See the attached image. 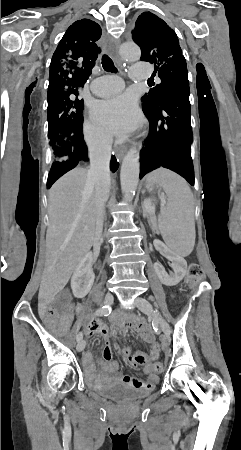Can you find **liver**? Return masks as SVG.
<instances>
[{"label": "liver", "mask_w": 241, "mask_h": 450, "mask_svg": "<svg viewBox=\"0 0 241 450\" xmlns=\"http://www.w3.org/2000/svg\"><path fill=\"white\" fill-rule=\"evenodd\" d=\"M85 168H74L49 190L50 224L39 300L50 304L65 288L77 264L93 246L96 228L95 188L85 190Z\"/></svg>", "instance_id": "liver-1"}]
</instances>
